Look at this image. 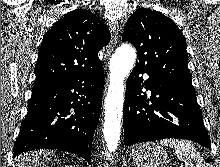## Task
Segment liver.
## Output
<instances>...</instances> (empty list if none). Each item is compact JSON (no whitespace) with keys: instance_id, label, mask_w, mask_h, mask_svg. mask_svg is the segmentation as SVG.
Wrapping results in <instances>:
<instances>
[{"instance_id":"liver-1","label":"liver","mask_w":220,"mask_h":167,"mask_svg":"<svg viewBox=\"0 0 220 167\" xmlns=\"http://www.w3.org/2000/svg\"><path fill=\"white\" fill-rule=\"evenodd\" d=\"M52 153L47 150H38L19 155L15 159L14 167H47Z\"/></svg>"}]
</instances>
